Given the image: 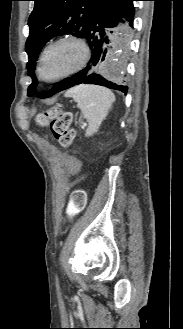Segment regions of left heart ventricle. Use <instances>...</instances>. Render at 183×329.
<instances>
[{
	"label": "left heart ventricle",
	"mask_w": 183,
	"mask_h": 329,
	"mask_svg": "<svg viewBox=\"0 0 183 329\" xmlns=\"http://www.w3.org/2000/svg\"><path fill=\"white\" fill-rule=\"evenodd\" d=\"M83 58V50L73 41L62 42L51 48L44 59L43 75L54 78L75 68Z\"/></svg>",
	"instance_id": "1"
}]
</instances>
